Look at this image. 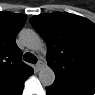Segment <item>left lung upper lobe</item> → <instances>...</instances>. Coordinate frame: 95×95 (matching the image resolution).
<instances>
[{"label":"left lung upper lobe","instance_id":"1","mask_svg":"<svg viewBox=\"0 0 95 95\" xmlns=\"http://www.w3.org/2000/svg\"><path fill=\"white\" fill-rule=\"evenodd\" d=\"M47 44L55 81L72 80L95 87V25L68 13L40 14L30 19Z\"/></svg>","mask_w":95,"mask_h":95}]
</instances>
